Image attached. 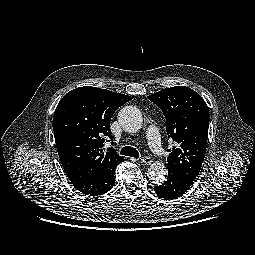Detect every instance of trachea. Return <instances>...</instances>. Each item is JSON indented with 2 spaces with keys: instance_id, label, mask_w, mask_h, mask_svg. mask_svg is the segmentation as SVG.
<instances>
[{
  "instance_id": "3493384b",
  "label": "trachea",
  "mask_w": 255,
  "mask_h": 255,
  "mask_svg": "<svg viewBox=\"0 0 255 255\" xmlns=\"http://www.w3.org/2000/svg\"><path fill=\"white\" fill-rule=\"evenodd\" d=\"M120 153L122 155H125V156H130V157H134V158H139L140 154L139 152L131 147V146H125L123 147L121 150H120Z\"/></svg>"
}]
</instances>
